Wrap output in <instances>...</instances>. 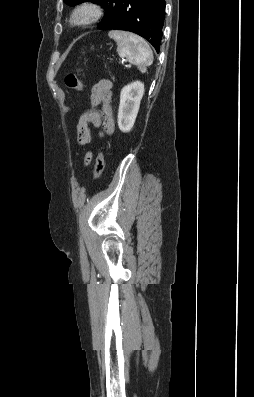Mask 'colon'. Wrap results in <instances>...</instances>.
<instances>
[{"mask_svg":"<svg viewBox=\"0 0 254 397\" xmlns=\"http://www.w3.org/2000/svg\"><path fill=\"white\" fill-rule=\"evenodd\" d=\"M82 72H83V69L81 67H77L75 71L69 73L65 77V84L69 89H72L77 92L83 91V83L81 80ZM104 165H105L104 154L100 150L98 152L96 162H95V168H94V179L95 180L101 176V174L104 170Z\"/></svg>","mask_w":254,"mask_h":397,"instance_id":"colon-1","label":"colon"}]
</instances>
